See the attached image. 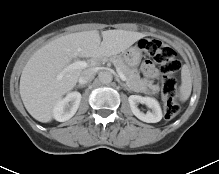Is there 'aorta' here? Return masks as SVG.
Returning <instances> with one entry per match:
<instances>
[{"label": "aorta", "instance_id": "aorta-1", "mask_svg": "<svg viewBox=\"0 0 219 174\" xmlns=\"http://www.w3.org/2000/svg\"><path fill=\"white\" fill-rule=\"evenodd\" d=\"M113 76L109 71H103L99 74V81L102 84H109L112 82Z\"/></svg>", "mask_w": 219, "mask_h": 174}]
</instances>
